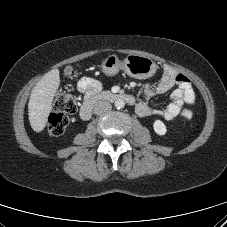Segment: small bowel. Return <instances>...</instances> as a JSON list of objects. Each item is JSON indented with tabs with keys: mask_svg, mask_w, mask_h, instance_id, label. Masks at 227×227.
<instances>
[{
	"mask_svg": "<svg viewBox=\"0 0 227 227\" xmlns=\"http://www.w3.org/2000/svg\"><path fill=\"white\" fill-rule=\"evenodd\" d=\"M175 85L177 88L171 93V101L165 108L152 109L149 106V100L152 97L166 93ZM77 88L79 92L89 97L98 91L100 83L93 78L85 77L79 81ZM144 94L145 99L136 105V112L139 116L158 115L168 121L178 116L185 120L192 118V111L186 107L195 102V93L190 80L185 75L176 73L171 67L164 68L163 76L155 87L146 85Z\"/></svg>",
	"mask_w": 227,
	"mask_h": 227,
	"instance_id": "obj_1",
	"label": "small bowel"
}]
</instances>
